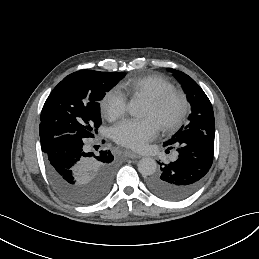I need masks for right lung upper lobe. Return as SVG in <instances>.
Segmentation results:
<instances>
[{
  "mask_svg": "<svg viewBox=\"0 0 259 259\" xmlns=\"http://www.w3.org/2000/svg\"><path fill=\"white\" fill-rule=\"evenodd\" d=\"M84 71H87V70H80V71H77V72H74L70 75H68L67 77H65L60 83L63 84V83H66L71 77L77 75L78 73H81V72H84ZM41 140V148H42V151L46 149V147L49 145V143L51 141H45V140Z\"/></svg>",
  "mask_w": 259,
  "mask_h": 259,
  "instance_id": "right-lung-upper-lobe-1",
  "label": "right lung upper lobe"
}]
</instances>
